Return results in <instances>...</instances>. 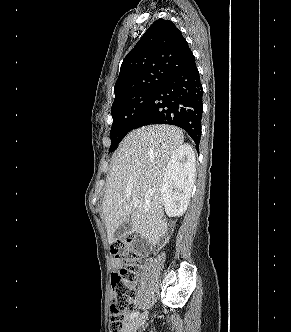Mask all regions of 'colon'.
<instances>
[{
  "instance_id": "colon-1",
  "label": "colon",
  "mask_w": 291,
  "mask_h": 332,
  "mask_svg": "<svg viewBox=\"0 0 291 332\" xmlns=\"http://www.w3.org/2000/svg\"><path fill=\"white\" fill-rule=\"evenodd\" d=\"M131 236L118 239L111 245V252L120 258L124 267L111 275L113 296L110 305L111 332H121L130 311L134 308L135 283L142 262V255L132 247Z\"/></svg>"
}]
</instances>
